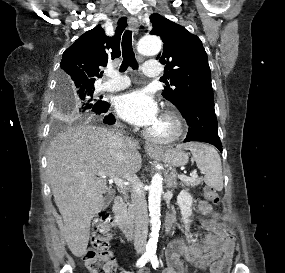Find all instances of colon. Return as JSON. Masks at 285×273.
Wrapping results in <instances>:
<instances>
[{
    "label": "colon",
    "instance_id": "5ec220e1",
    "mask_svg": "<svg viewBox=\"0 0 285 273\" xmlns=\"http://www.w3.org/2000/svg\"><path fill=\"white\" fill-rule=\"evenodd\" d=\"M205 197L213 204L219 203L218 191L213 187H206ZM112 237L110 220L108 218L98 219L93 227L91 246L83 255L88 273H114L115 261L109 251Z\"/></svg>",
    "mask_w": 285,
    "mask_h": 273
}]
</instances>
